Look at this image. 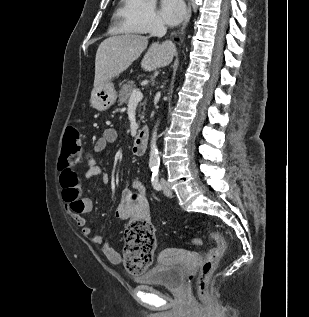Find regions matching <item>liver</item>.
I'll return each mask as SVG.
<instances>
[{
    "label": "liver",
    "mask_w": 309,
    "mask_h": 317,
    "mask_svg": "<svg viewBox=\"0 0 309 317\" xmlns=\"http://www.w3.org/2000/svg\"><path fill=\"white\" fill-rule=\"evenodd\" d=\"M148 37L124 34L105 39L98 47L95 58L94 88L124 72L147 48ZM176 52L171 41L153 43L141 61V68L154 71L169 65Z\"/></svg>",
    "instance_id": "6515ba94"
}]
</instances>
